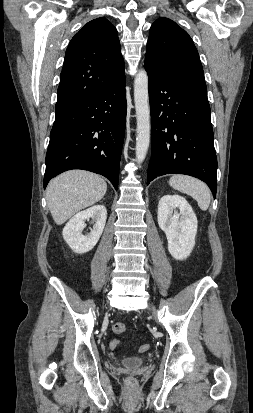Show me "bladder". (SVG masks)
I'll return each instance as SVG.
<instances>
[{"label":"bladder","instance_id":"obj_1","mask_svg":"<svg viewBox=\"0 0 253 413\" xmlns=\"http://www.w3.org/2000/svg\"><path fill=\"white\" fill-rule=\"evenodd\" d=\"M145 359L141 356H128L122 358L121 362L123 365L128 367L140 366L144 363Z\"/></svg>","mask_w":253,"mask_h":413}]
</instances>
